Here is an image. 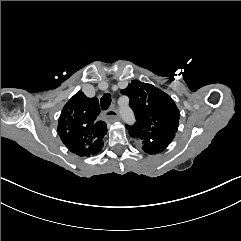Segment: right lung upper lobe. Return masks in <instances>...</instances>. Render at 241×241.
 I'll return each instance as SVG.
<instances>
[{"mask_svg": "<svg viewBox=\"0 0 241 241\" xmlns=\"http://www.w3.org/2000/svg\"><path fill=\"white\" fill-rule=\"evenodd\" d=\"M99 102L77 92L64 106L59 117L58 133L62 142L81 157L96 155L103 148L106 123L100 121Z\"/></svg>", "mask_w": 241, "mask_h": 241, "instance_id": "obj_1", "label": "right lung upper lobe"}]
</instances>
